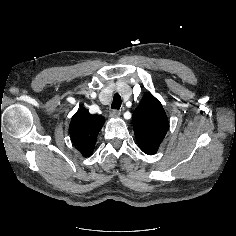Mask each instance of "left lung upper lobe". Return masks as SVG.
I'll return each mask as SVG.
<instances>
[{
	"label": "left lung upper lobe",
	"instance_id": "obj_1",
	"mask_svg": "<svg viewBox=\"0 0 236 236\" xmlns=\"http://www.w3.org/2000/svg\"><path fill=\"white\" fill-rule=\"evenodd\" d=\"M132 121L140 149L148 155L155 154L169 129L167 115L159 100L146 93L135 109Z\"/></svg>",
	"mask_w": 236,
	"mask_h": 236
}]
</instances>
